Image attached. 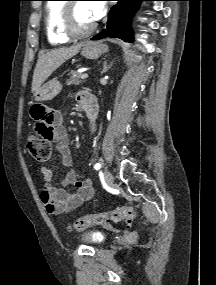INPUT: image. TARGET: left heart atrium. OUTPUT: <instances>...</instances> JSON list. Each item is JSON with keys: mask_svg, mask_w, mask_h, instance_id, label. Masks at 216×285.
Segmentation results:
<instances>
[{"mask_svg": "<svg viewBox=\"0 0 216 285\" xmlns=\"http://www.w3.org/2000/svg\"><path fill=\"white\" fill-rule=\"evenodd\" d=\"M87 8L94 22L101 19L106 12V4L104 1H91L87 3Z\"/></svg>", "mask_w": 216, "mask_h": 285, "instance_id": "obj_1", "label": "left heart atrium"}]
</instances>
